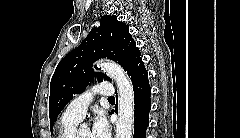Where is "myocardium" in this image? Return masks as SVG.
Listing matches in <instances>:
<instances>
[{
  "label": "myocardium",
  "instance_id": "1",
  "mask_svg": "<svg viewBox=\"0 0 240 138\" xmlns=\"http://www.w3.org/2000/svg\"><path fill=\"white\" fill-rule=\"evenodd\" d=\"M73 138H79V131H75V133L73 134Z\"/></svg>",
  "mask_w": 240,
  "mask_h": 138
}]
</instances>
